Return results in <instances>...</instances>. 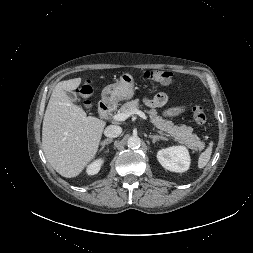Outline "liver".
I'll return each instance as SVG.
<instances>
[{
  "label": "liver",
  "mask_w": 253,
  "mask_h": 253,
  "mask_svg": "<svg viewBox=\"0 0 253 253\" xmlns=\"http://www.w3.org/2000/svg\"><path fill=\"white\" fill-rule=\"evenodd\" d=\"M81 78L59 82L49 99L42 127V148L51 166L63 177L78 176L95 158L106 123L87 116L67 92Z\"/></svg>",
  "instance_id": "obj_1"
}]
</instances>
